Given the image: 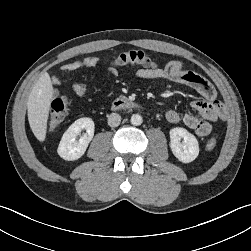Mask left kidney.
<instances>
[{
	"instance_id": "5707ae66",
	"label": "left kidney",
	"mask_w": 251,
	"mask_h": 251,
	"mask_svg": "<svg viewBox=\"0 0 251 251\" xmlns=\"http://www.w3.org/2000/svg\"><path fill=\"white\" fill-rule=\"evenodd\" d=\"M170 134V148L174 156L182 163H190L199 155V144L196 137L186 129L172 128ZM183 139V142L180 140Z\"/></svg>"
}]
</instances>
